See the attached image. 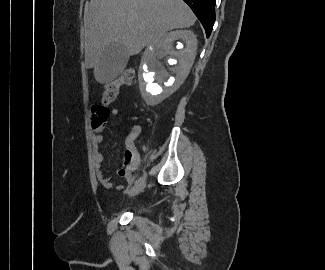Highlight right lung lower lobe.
Here are the masks:
<instances>
[{
	"label": "right lung lower lobe",
	"mask_w": 325,
	"mask_h": 270,
	"mask_svg": "<svg viewBox=\"0 0 325 270\" xmlns=\"http://www.w3.org/2000/svg\"><path fill=\"white\" fill-rule=\"evenodd\" d=\"M200 20L207 37L210 36L215 22L216 0H184Z\"/></svg>",
	"instance_id": "98d812e1"
}]
</instances>
